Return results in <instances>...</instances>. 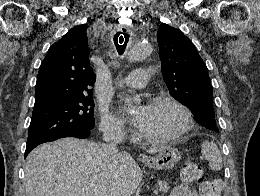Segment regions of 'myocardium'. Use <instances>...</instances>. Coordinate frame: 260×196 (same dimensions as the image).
I'll return each mask as SVG.
<instances>
[{"instance_id": "myocardium-1", "label": "myocardium", "mask_w": 260, "mask_h": 196, "mask_svg": "<svg viewBox=\"0 0 260 196\" xmlns=\"http://www.w3.org/2000/svg\"><path fill=\"white\" fill-rule=\"evenodd\" d=\"M156 104L174 105L175 107L180 109L181 112L184 114L185 122L184 125L179 130L172 133L162 134V135L145 134L144 139L146 141L157 142V143L169 142L183 137L190 131L193 125V113L189 109V107L186 106L183 102H181L179 99L171 95H159L151 98L149 101V105H156Z\"/></svg>"}]
</instances>
